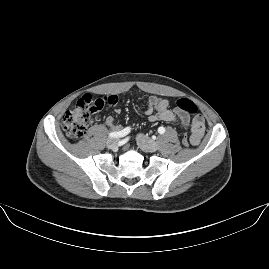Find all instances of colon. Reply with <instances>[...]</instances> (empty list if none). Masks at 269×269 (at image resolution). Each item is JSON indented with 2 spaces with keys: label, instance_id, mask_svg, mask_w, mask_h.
Segmentation results:
<instances>
[{
  "label": "colon",
  "instance_id": "colon-1",
  "mask_svg": "<svg viewBox=\"0 0 269 269\" xmlns=\"http://www.w3.org/2000/svg\"><path fill=\"white\" fill-rule=\"evenodd\" d=\"M119 103V98L116 95H111L108 99H98L90 94H83L77 103L64 113L62 117V129L65 134L72 140L81 139L90 126V117L102 109L109 110L112 106ZM175 107L183 112L191 115H196V107L192 101L187 98H179L175 101ZM181 146H188V134L182 132L179 135Z\"/></svg>",
  "mask_w": 269,
  "mask_h": 269
}]
</instances>
